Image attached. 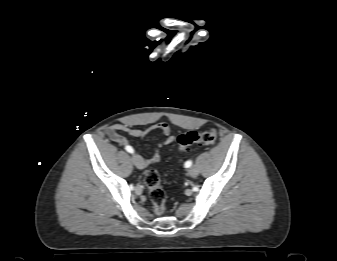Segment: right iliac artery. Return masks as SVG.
I'll list each match as a JSON object with an SVG mask.
<instances>
[{
  "label": "right iliac artery",
  "mask_w": 337,
  "mask_h": 261,
  "mask_svg": "<svg viewBox=\"0 0 337 261\" xmlns=\"http://www.w3.org/2000/svg\"><path fill=\"white\" fill-rule=\"evenodd\" d=\"M125 150H126L127 152H129V153H134V150H133V148H132L131 146H126V147H125Z\"/></svg>",
  "instance_id": "obj_1"
}]
</instances>
